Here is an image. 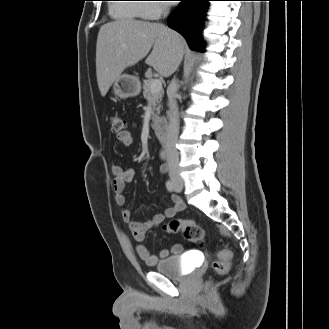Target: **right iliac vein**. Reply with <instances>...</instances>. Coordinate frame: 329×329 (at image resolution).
Here are the masks:
<instances>
[{
  "mask_svg": "<svg viewBox=\"0 0 329 329\" xmlns=\"http://www.w3.org/2000/svg\"><path fill=\"white\" fill-rule=\"evenodd\" d=\"M176 184L179 185V186H183V182L181 180H175Z\"/></svg>",
  "mask_w": 329,
  "mask_h": 329,
  "instance_id": "right-iliac-vein-1",
  "label": "right iliac vein"
}]
</instances>
